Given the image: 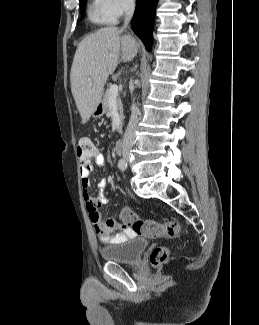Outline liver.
<instances>
[{
	"instance_id": "obj_1",
	"label": "liver",
	"mask_w": 259,
	"mask_h": 325,
	"mask_svg": "<svg viewBox=\"0 0 259 325\" xmlns=\"http://www.w3.org/2000/svg\"><path fill=\"white\" fill-rule=\"evenodd\" d=\"M139 44L117 27L102 28L78 45L70 72L71 91L85 124L101 101L104 85L120 61H131ZM121 57V59H119Z\"/></svg>"
}]
</instances>
